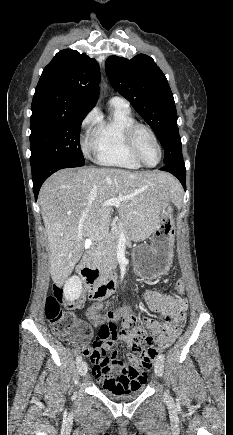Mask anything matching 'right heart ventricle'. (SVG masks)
<instances>
[{
    "label": "right heart ventricle",
    "mask_w": 233,
    "mask_h": 435,
    "mask_svg": "<svg viewBox=\"0 0 233 435\" xmlns=\"http://www.w3.org/2000/svg\"><path fill=\"white\" fill-rule=\"evenodd\" d=\"M112 114L98 120L90 135L100 165L137 170L142 166L133 158L126 141V131L137 122L129 108L112 105Z\"/></svg>",
    "instance_id": "right-heart-ventricle-1"
}]
</instances>
